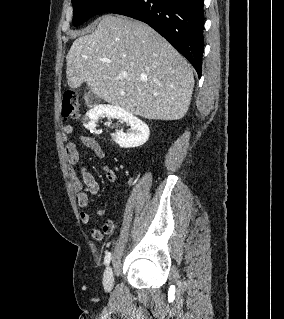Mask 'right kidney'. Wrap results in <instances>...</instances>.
Returning a JSON list of instances; mask_svg holds the SVG:
<instances>
[{"label": "right kidney", "mask_w": 284, "mask_h": 319, "mask_svg": "<svg viewBox=\"0 0 284 319\" xmlns=\"http://www.w3.org/2000/svg\"><path fill=\"white\" fill-rule=\"evenodd\" d=\"M118 118L130 125L127 133L116 131L112 138L122 148H134L143 145L149 138L150 131L143 121L132 113L117 106L99 105L88 111L84 118V126L89 130H94L99 117Z\"/></svg>", "instance_id": "ca27d5eb"}]
</instances>
